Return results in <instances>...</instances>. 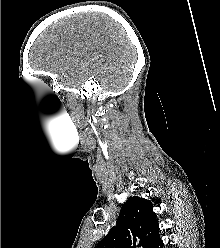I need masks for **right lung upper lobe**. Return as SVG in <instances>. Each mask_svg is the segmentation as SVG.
<instances>
[{
    "label": "right lung upper lobe",
    "instance_id": "right-lung-upper-lobe-1",
    "mask_svg": "<svg viewBox=\"0 0 220 248\" xmlns=\"http://www.w3.org/2000/svg\"><path fill=\"white\" fill-rule=\"evenodd\" d=\"M150 200L130 197L122 206L116 227L95 248H154L161 240Z\"/></svg>",
    "mask_w": 220,
    "mask_h": 248
}]
</instances>
